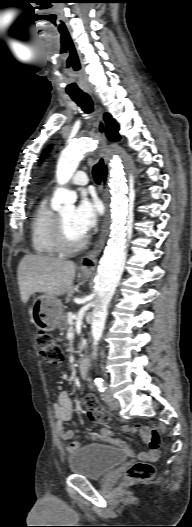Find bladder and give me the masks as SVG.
<instances>
[{"mask_svg": "<svg viewBox=\"0 0 192 527\" xmlns=\"http://www.w3.org/2000/svg\"><path fill=\"white\" fill-rule=\"evenodd\" d=\"M126 460V454L113 446L90 443L73 451L68 457L72 474L99 480Z\"/></svg>", "mask_w": 192, "mask_h": 527, "instance_id": "bladder-1", "label": "bladder"}]
</instances>
